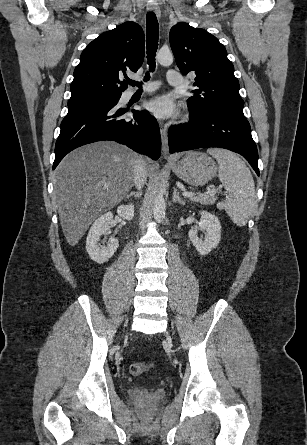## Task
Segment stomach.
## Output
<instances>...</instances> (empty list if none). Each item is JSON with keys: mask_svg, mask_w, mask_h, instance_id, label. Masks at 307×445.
I'll return each mask as SVG.
<instances>
[{"mask_svg": "<svg viewBox=\"0 0 307 445\" xmlns=\"http://www.w3.org/2000/svg\"><path fill=\"white\" fill-rule=\"evenodd\" d=\"M172 168L179 178L193 186H203L216 176L218 170L215 160L202 152H187Z\"/></svg>", "mask_w": 307, "mask_h": 445, "instance_id": "0dacf381", "label": "stomach"}]
</instances>
